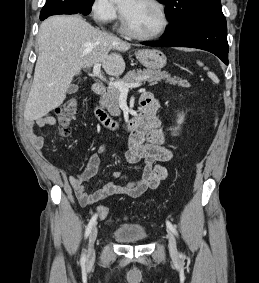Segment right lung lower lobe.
<instances>
[{"label":"right lung lower lobe","mask_w":259,"mask_h":283,"mask_svg":"<svg viewBox=\"0 0 259 283\" xmlns=\"http://www.w3.org/2000/svg\"><path fill=\"white\" fill-rule=\"evenodd\" d=\"M77 13L89 14L84 0H46L40 13V20H44L50 15Z\"/></svg>","instance_id":"98d812e1"}]
</instances>
